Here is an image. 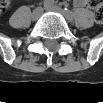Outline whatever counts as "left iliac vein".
Listing matches in <instances>:
<instances>
[{
	"label": "left iliac vein",
	"mask_w": 103,
	"mask_h": 103,
	"mask_svg": "<svg viewBox=\"0 0 103 103\" xmlns=\"http://www.w3.org/2000/svg\"><path fill=\"white\" fill-rule=\"evenodd\" d=\"M47 11H51V12H56V13H59L61 15H64L66 16L64 10H62L60 7L58 6H50V7H47L46 8ZM67 17V16H66ZM68 18V17H67Z\"/></svg>",
	"instance_id": "4c4485c4"
}]
</instances>
